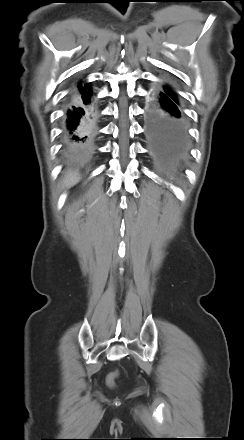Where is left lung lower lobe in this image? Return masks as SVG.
Wrapping results in <instances>:
<instances>
[{"mask_svg":"<svg viewBox=\"0 0 244 440\" xmlns=\"http://www.w3.org/2000/svg\"><path fill=\"white\" fill-rule=\"evenodd\" d=\"M145 135L156 161L179 170L189 150L188 122L175 96L164 88L150 96L145 115Z\"/></svg>","mask_w":244,"mask_h":440,"instance_id":"left-lung-lower-lobe-1","label":"left lung lower lobe"}]
</instances>
